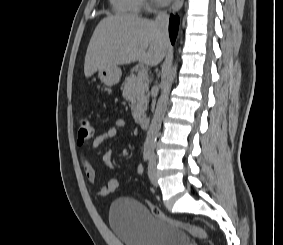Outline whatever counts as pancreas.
Returning a JSON list of instances; mask_svg holds the SVG:
<instances>
[{
    "mask_svg": "<svg viewBox=\"0 0 283 245\" xmlns=\"http://www.w3.org/2000/svg\"><path fill=\"white\" fill-rule=\"evenodd\" d=\"M123 95L131 103L134 119H139L147 108L149 101V84L147 78H140L133 72L125 79Z\"/></svg>",
    "mask_w": 283,
    "mask_h": 245,
    "instance_id": "obj_1",
    "label": "pancreas"
}]
</instances>
